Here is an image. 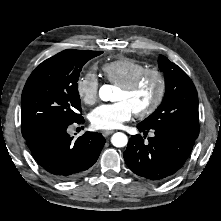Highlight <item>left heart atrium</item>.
I'll return each mask as SVG.
<instances>
[{
    "mask_svg": "<svg viewBox=\"0 0 221 221\" xmlns=\"http://www.w3.org/2000/svg\"><path fill=\"white\" fill-rule=\"evenodd\" d=\"M135 112L125 101L102 104L90 113L92 126L99 130H113L130 120Z\"/></svg>",
    "mask_w": 221,
    "mask_h": 221,
    "instance_id": "left-heart-atrium-1",
    "label": "left heart atrium"
}]
</instances>
